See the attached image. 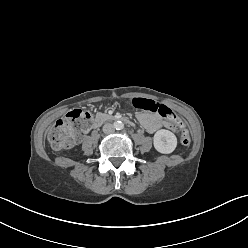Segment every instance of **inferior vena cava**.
<instances>
[{
  "instance_id": "602c4592",
  "label": "inferior vena cava",
  "mask_w": 248,
  "mask_h": 248,
  "mask_svg": "<svg viewBox=\"0 0 248 248\" xmlns=\"http://www.w3.org/2000/svg\"><path fill=\"white\" fill-rule=\"evenodd\" d=\"M102 130H103V132H104L105 134H111V133L114 132L115 128H114V126H113L112 124L106 123V124L103 126Z\"/></svg>"
}]
</instances>
